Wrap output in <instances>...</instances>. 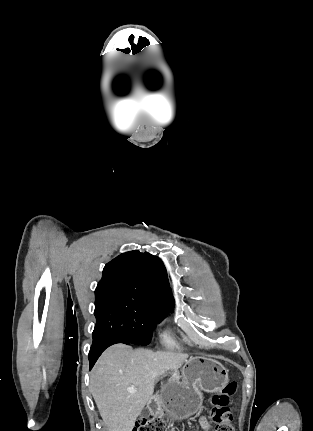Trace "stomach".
Instances as JSON below:
<instances>
[{"label":"stomach","mask_w":313,"mask_h":431,"mask_svg":"<svg viewBox=\"0 0 313 431\" xmlns=\"http://www.w3.org/2000/svg\"><path fill=\"white\" fill-rule=\"evenodd\" d=\"M182 380L170 379L154 401L157 415L182 420L195 414L202 404V391L218 392L229 381L228 370L218 361L190 357L182 368ZM165 411V415H164Z\"/></svg>","instance_id":"obj_1"}]
</instances>
